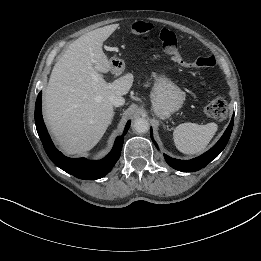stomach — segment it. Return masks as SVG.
I'll list each match as a JSON object with an SVG mask.
<instances>
[{
	"instance_id": "0dacf381",
	"label": "stomach",
	"mask_w": 261,
	"mask_h": 261,
	"mask_svg": "<svg viewBox=\"0 0 261 261\" xmlns=\"http://www.w3.org/2000/svg\"><path fill=\"white\" fill-rule=\"evenodd\" d=\"M119 61V62H117ZM112 68L119 72L124 68L120 60L114 59L111 62ZM154 85L151 92L153 111L157 117L166 119L178 111L184 102L183 91L171 81L164 73H152Z\"/></svg>"
}]
</instances>
